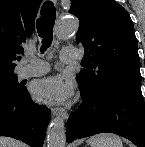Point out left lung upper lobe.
<instances>
[{"instance_id": "obj_1", "label": "left lung upper lobe", "mask_w": 145, "mask_h": 147, "mask_svg": "<svg viewBox=\"0 0 145 147\" xmlns=\"http://www.w3.org/2000/svg\"><path fill=\"white\" fill-rule=\"evenodd\" d=\"M79 19L76 43L85 48L80 87L99 96L116 84L141 82L137 39L129 13L115 0H71Z\"/></svg>"}]
</instances>
